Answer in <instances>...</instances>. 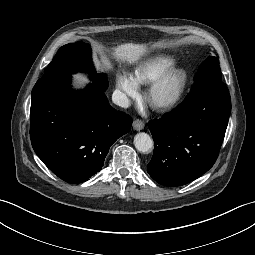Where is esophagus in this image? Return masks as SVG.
I'll return each instance as SVG.
<instances>
[{"label": "esophagus", "mask_w": 255, "mask_h": 255, "mask_svg": "<svg viewBox=\"0 0 255 255\" xmlns=\"http://www.w3.org/2000/svg\"><path fill=\"white\" fill-rule=\"evenodd\" d=\"M145 124L142 120L136 119L133 121V128L137 131H140L144 128Z\"/></svg>", "instance_id": "34e87169"}]
</instances>
